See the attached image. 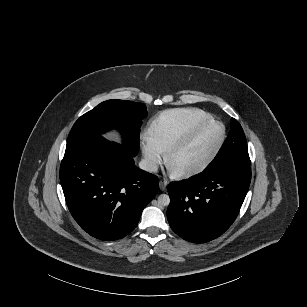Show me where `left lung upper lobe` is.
I'll use <instances>...</instances> for the list:
<instances>
[{
    "mask_svg": "<svg viewBox=\"0 0 307 307\" xmlns=\"http://www.w3.org/2000/svg\"><path fill=\"white\" fill-rule=\"evenodd\" d=\"M227 164L250 166L246 138L241 125L234 118L231 120V130L222 148L203 172Z\"/></svg>",
    "mask_w": 307,
    "mask_h": 307,
    "instance_id": "5c2ea615",
    "label": "left lung upper lobe"
}]
</instances>
